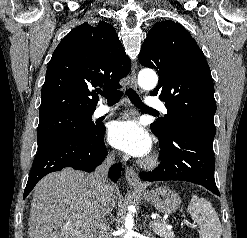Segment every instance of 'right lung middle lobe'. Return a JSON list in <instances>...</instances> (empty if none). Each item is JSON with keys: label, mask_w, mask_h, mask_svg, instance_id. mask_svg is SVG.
<instances>
[{"label": "right lung middle lobe", "mask_w": 247, "mask_h": 238, "mask_svg": "<svg viewBox=\"0 0 247 238\" xmlns=\"http://www.w3.org/2000/svg\"><path fill=\"white\" fill-rule=\"evenodd\" d=\"M92 113L62 115L40 121L37 129L38 149L44 145L70 137L89 138L98 131Z\"/></svg>", "instance_id": "right-lung-middle-lobe-1"}]
</instances>
